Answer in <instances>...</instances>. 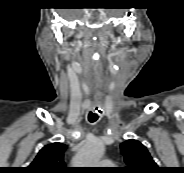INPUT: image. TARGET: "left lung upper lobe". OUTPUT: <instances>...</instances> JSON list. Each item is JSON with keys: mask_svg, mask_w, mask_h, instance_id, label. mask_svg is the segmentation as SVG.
<instances>
[{"mask_svg": "<svg viewBox=\"0 0 184 173\" xmlns=\"http://www.w3.org/2000/svg\"><path fill=\"white\" fill-rule=\"evenodd\" d=\"M127 167L123 173H159L146 147L137 140H127L120 145Z\"/></svg>", "mask_w": 184, "mask_h": 173, "instance_id": "5c2ea615", "label": "left lung upper lobe"}]
</instances>
